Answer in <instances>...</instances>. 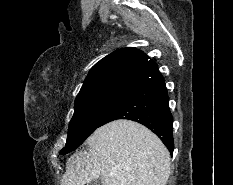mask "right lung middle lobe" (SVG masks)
<instances>
[{"mask_svg":"<svg viewBox=\"0 0 233 185\" xmlns=\"http://www.w3.org/2000/svg\"><path fill=\"white\" fill-rule=\"evenodd\" d=\"M129 91L107 88L78 95L68 128L67 142L60 154H67L79 147Z\"/></svg>","mask_w":233,"mask_h":185,"instance_id":"1","label":"right lung middle lobe"}]
</instances>
